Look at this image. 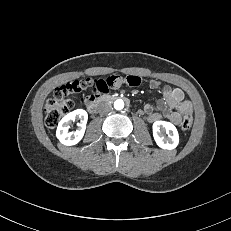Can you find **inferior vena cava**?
Listing matches in <instances>:
<instances>
[{"instance_id": "inferior-vena-cava-1", "label": "inferior vena cava", "mask_w": 231, "mask_h": 231, "mask_svg": "<svg viewBox=\"0 0 231 231\" xmlns=\"http://www.w3.org/2000/svg\"><path fill=\"white\" fill-rule=\"evenodd\" d=\"M111 109H112L111 104L106 101L100 102L97 107V110L100 114H107L111 111Z\"/></svg>"}]
</instances>
